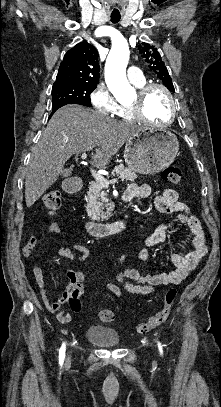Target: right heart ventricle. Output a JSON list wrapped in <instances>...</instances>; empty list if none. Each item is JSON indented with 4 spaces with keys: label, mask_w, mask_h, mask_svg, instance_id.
Here are the masks:
<instances>
[{
    "label": "right heart ventricle",
    "mask_w": 221,
    "mask_h": 407,
    "mask_svg": "<svg viewBox=\"0 0 221 407\" xmlns=\"http://www.w3.org/2000/svg\"><path fill=\"white\" fill-rule=\"evenodd\" d=\"M138 88L145 85V81L141 84H135ZM115 115L124 121H134L135 118L131 112L130 105H119Z\"/></svg>",
    "instance_id": "obj_1"
}]
</instances>
